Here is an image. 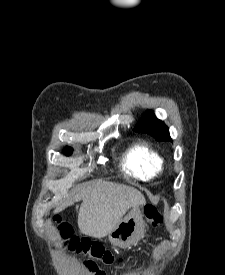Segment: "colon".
<instances>
[{"label": "colon", "instance_id": "colon-1", "mask_svg": "<svg viewBox=\"0 0 225 275\" xmlns=\"http://www.w3.org/2000/svg\"><path fill=\"white\" fill-rule=\"evenodd\" d=\"M145 216L151 227H156L163 222V216L159 208L154 204H148L145 207ZM56 223L58 224V233L70 251L88 255L92 259L106 265L113 264L117 260L111 251L106 250L99 243L88 238L75 236L68 224L59 219L56 220ZM85 265L93 275H100L101 272L93 261H86Z\"/></svg>", "mask_w": 225, "mask_h": 275}]
</instances>
